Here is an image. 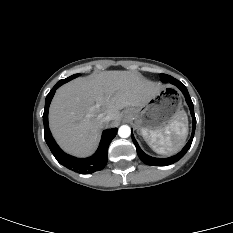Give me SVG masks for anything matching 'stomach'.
Returning <instances> with one entry per match:
<instances>
[{
  "mask_svg": "<svg viewBox=\"0 0 233 233\" xmlns=\"http://www.w3.org/2000/svg\"><path fill=\"white\" fill-rule=\"evenodd\" d=\"M184 109L182 94L173 87H162L143 105L124 111V117L140 131L151 132L164 128Z\"/></svg>",
  "mask_w": 233,
  "mask_h": 233,
  "instance_id": "0dacf381",
  "label": "stomach"
}]
</instances>
